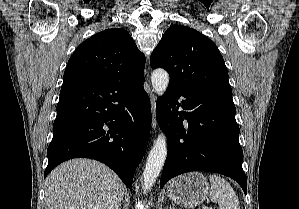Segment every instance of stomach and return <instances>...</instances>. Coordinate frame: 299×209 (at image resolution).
Wrapping results in <instances>:
<instances>
[{
	"label": "stomach",
	"instance_id": "obj_1",
	"mask_svg": "<svg viewBox=\"0 0 299 209\" xmlns=\"http://www.w3.org/2000/svg\"><path fill=\"white\" fill-rule=\"evenodd\" d=\"M210 187L205 176L190 172L174 178L167 189L168 197L176 204L193 208L206 200Z\"/></svg>",
	"mask_w": 299,
	"mask_h": 209
}]
</instances>
